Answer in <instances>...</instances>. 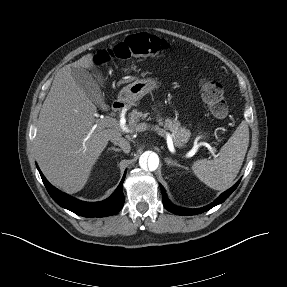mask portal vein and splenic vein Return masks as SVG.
I'll list each match as a JSON object with an SVG mask.
<instances>
[{
  "label": "portal vein and splenic vein",
  "mask_w": 287,
  "mask_h": 287,
  "mask_svg": "<svg viewBox=\"0 0 287 287\" xmlns=\"http://www.w3.org/2000/svg\"><path fill=\"white\" fill-rule=\"evenodd\" d=\"M97 126L102 127V128H105V127H111V128H116V129L120 128L123 131L128 132L127 127L124 122L118 121L115 118H112L110 116H106L103 119L97 120V124L92 128L91 133L96 129ZM148 128L155 131L158 135L164 137L167 141L168 147L173 148V137L169 132L165 131L164 129L160 128L157 125L150 126L146 123H142L141 126H139L140 130H146ZM205 146L208 148L211 154L215 156V149L208 143H206Z\"/></svg>",
  "instance_id": "1"
}]
</instances>
